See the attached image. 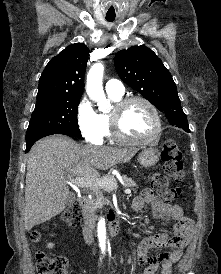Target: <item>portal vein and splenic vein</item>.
Here are the masks:
<instances>
[{
    "label": "portal vein and splenic vein",
    "instance_id": "18ae733b",
    "mask_svg": "<svg viewBox=\"0 0 221 274\" xmlns=\"http://www.w3.org/2000/svg\"><path fill=\"white\" fill-rule=\"evenodd\" d=\"M70 185L81 187V188H106V189H116L117 184L111 178H84V177H76L67 182ZM125 194H130V189H125Z\"/></svg>",
    "mask_w": 221,
    "mask_h": 274
}]
</instances>
